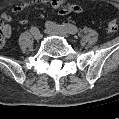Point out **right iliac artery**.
I'll return each mask as SVG.
<instances>
[{
  "label": "right iliac artery",
  "mask_w": 119,
  "mask_h": 119,
  "mask_svg": "<svg viewBox=\"0 0 119 119\" xmlns=\"http://www.w3.org/2000/svg\"><path fill=\"white\" fill-rule=\"evenodd\" d=\"M30 31L34 37H37L40 34V31L38 30L37 27H31Z\"/></svg>",
  "instance_id": "82829eb1"
}]
</instances>
